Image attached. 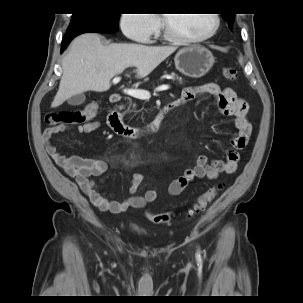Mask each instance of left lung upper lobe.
<instances>
[{
	"label": "left lung upper lobe",
	"mask_w": 303,
	"mask_h": 303,
	"mask_svg": "<svg viewBox=\"0 0 303 303\" xmlns=\"http://www.w3.org/2000/svg\"><path fill=\"white\" fill-rule=\"evenodd\" d=\"M229 24L232 23L235 14H221Z\"/></svg>",
	"instance_id": "5c2ea615"
}]
</instances>
